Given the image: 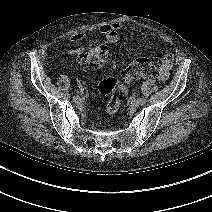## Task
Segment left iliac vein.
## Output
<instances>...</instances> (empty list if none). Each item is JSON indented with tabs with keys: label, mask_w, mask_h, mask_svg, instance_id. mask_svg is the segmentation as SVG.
Returning a JSON list of instances; mask_svg holds the SVG:
<instances>
[{
	"label": "left iliac vein",
	"mask_w": 212,
	"mask_h": 212,
	"mask_svg": "<svg viewBox=\"0 0 212 212\" xmlns=\"http://www.w3.org/2000/svg\"><path fill=\"white\" fill-rule=\"evenodd\" d=\"M140 105L139 100H134L131 104L132 108H137Z\"/></svg>",
	"instance_id": "4c4485c4"
}]
</instances>
